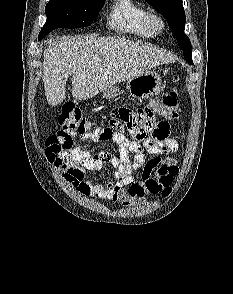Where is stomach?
Returning <instances> with one entry per match:
<instances>
[{
  "instance_id": "obj_1",
  "label": "stomach",
  "mask_w": 233,
  "mask_h": 294,
  "mask_svg": "<svg viewBox=\"0 0 233 294\" xmlns=\"http://www.w3.org/2000/svg\"><path fill=\"white\" fill-rule=\"evenodd\" d=\"M126 87L132 98L147 99L158 95L163 89V84L158 73L155 71H147L137 77L127 80ZM118 91L119 89L117 86H112L104 91L103 97L106 99L115 98Z\"/></svg>"
}]
</instances>
